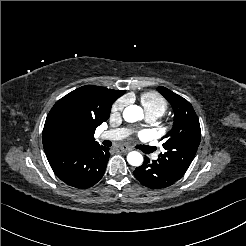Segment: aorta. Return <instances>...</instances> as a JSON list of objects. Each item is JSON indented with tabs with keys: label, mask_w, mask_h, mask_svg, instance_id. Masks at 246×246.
I'll return each instance as SVG.
<instances>
[{
	"label": "aorta",
	"mask_w": 246,
	"mask_h": 246,
	"mask_svg": "<svg viewBox=\"0 0 246 246\" xmlns=\"http://www.w3.org/2000/svg\"><path fill=\"white\" fill-rule=\"evenodd\" d=\"M123 118L127 122H136L143 118V110L137 105H130L124 109ZM127 161L130 165L138 167L143 163V156L137 151H132L128 153Z\"/></svg>",
	"instance_id": "1"
}]
</instances>
